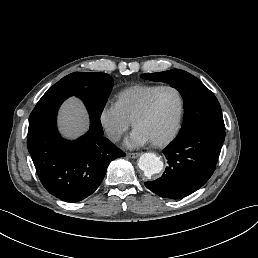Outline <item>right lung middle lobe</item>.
Here are the masks:
<instances>
[{"mask_svg": "<svg viewBox=\"0 0 258 258\" xmlns=\"http://www.w3.org/2000/svg\"><path fill=\"white\" fill-rule=\"evenodd\" d=\"M77 81L85 85H94L90 108L94 114L101 116L112 89V78L106 73L75 72L60 81Z\"/></svg>", "mask_w": 258, "mask_h": 258, "instance_id": "right-lung-middle-lobe-1", "label": "right lung middle lobe"}]
</instances>
